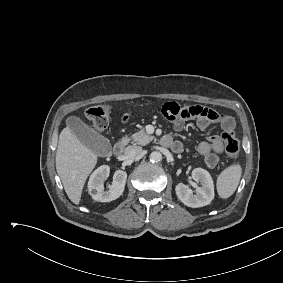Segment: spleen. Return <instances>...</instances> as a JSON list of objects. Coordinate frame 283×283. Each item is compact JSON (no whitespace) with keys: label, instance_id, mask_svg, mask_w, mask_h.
<instances>
[{"label":"spleen","instance_id":"spleen-1","mask_svg":"<svg viewBox=\"0 0 283 283\" xmlns=\"http://www.w3.org/2000/svg\"><path fill=\"white\" fill-rule=\"evenodd\" d=\"M242 169L239 164L226 168L217 178V192L222 199L229 198L237 189Z\"/></svg>","mask_w":283,"mask_h":283}]
</instances>
